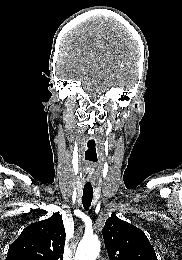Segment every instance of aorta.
<instances>
[{
  "label": "aorta",
  "instance_id": "1",
  "mask_svg": "<svg viewBox=\"0 0 182 260\" xmlns=\"http://www.w3.org/2000/svg\"><path fill=\"white\" fill-rule=\"evenodd\" d=\"M100 252V241L97 237H84L77 247L74 260H96Z\"/></svg>",
  "mask_w": 182,
  "mask_h": 260
}]
</instances>
